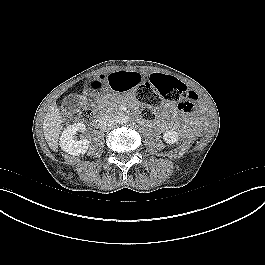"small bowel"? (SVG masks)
<instances>
[{"label": "small bowel", "instance_id": "c3829d8e", "mask_svg": "<svg viewBox=\"0 0 265 265\" xmlns=\"http://www.w3.org/2000/svg\"><path fill=\"white\" fill-rule=\"evenodd\" d=\"M142 80L148 81L142 77V74L139 71L132 70L126 73L119 72L112 74L110 76H102L99 79L94 78L88 82L87 88L91 94L98 95L104 91L105 86H110L115 92L121 93L126 89L139 86L142 83ZM173 109L172 106L166 104L159 113L162 119L167 118L170 111ZM179 123L173 121L169 124L170 128H179ZM164 128V126H162Z\"/></svg>", "mask_w": 265, "mask_h": 265}]
</instances>
